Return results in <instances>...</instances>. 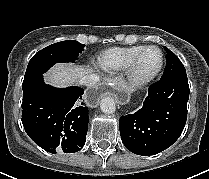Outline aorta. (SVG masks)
<instances>
[{
    "mask_svg": "<svg viewBox=\"0 0 209 179\" xmlns=\"http://www.w3.org/2000/svg\"><path fill=\"white\" fill-rule=\"evenodd\" d=\"M100 108L104 113L112 114L115 112L116 109L115 102L112 98L105 97L100 102Z\"/></svg>",
    "mask_w": 209,
    "mask_h": 179,
    "instance_id": "762f6f07",
    "label": "aorta"
}]
</instances>
